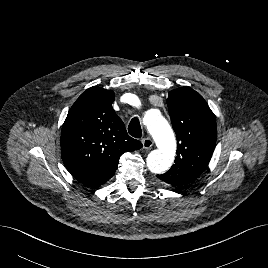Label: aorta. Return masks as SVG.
<instances>
[{"label": "aorta", "mask_w": 268, "mask_h": 268, "mask_svg": "<svg viewBox=\"0 0 268 268\" xmlns=\"http://www.w3.org/2000/svg\"><path fill=\"white\" fill-rule=\"evenodd\" d=\"M144 122L158 146V149L148 154L147 167L153 173H164L174 161L176 151L174 133L168 121L153 110L146 113Z\"/></svg>", "instance_id": "762f6f07"}]
</instances>
